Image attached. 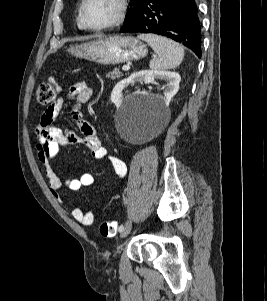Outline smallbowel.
Segmentation results:
<instances>
[{
  "label": "small bowel",
  "instance_id": "c3829d8e",
  "mask_svg": "<svg viewBox=\"0 0 267 301\" xmlns=\"http://www.w3.org/2000/svg\"><path fill=\"white\" fill-rule=\"evenodd\" d=\"M92 95L93 89L85 81L74 83L66 97L59 98L44 111L35 130V145L38 159L45 168L49 190L59 201L61 200L59 192L63 186L69 190L77 191L83 187L91 186L94 182V177L89 172L82 173L78 178H66L63 181L59 178L51 162L58 155L61 147L71 144L85 145L90 149L95 159L109 162L118 178H123L127 172L125 162L110 154L102 146L95 128L83 118L80 112L81 106L87 103ZM66 100L75 101L72 116L77 123L80 135L54 125V121ZM71 214L73 219L82 225L90 226L94 222V214L90 211L85 212L76 207L72 209Z\"/></svg>",
  "mask_w": 267,
  "mask_h": 301
}]
</instances>
